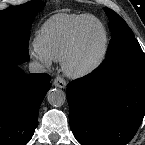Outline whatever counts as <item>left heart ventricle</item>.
<instances>
[{
    "label": "left heart ventricle",
    "mask_w": 145,
    "mask_h": 145,
    "mask_svg": "<svg viewBox=\"0 0 145 145\" xmlns=\"http://www.w3.org/2000/svg\"><path fill=\"white\" fill-rule=\"evenodd\" d=\"M84 47L81 55V61H87L92 58L100 49L102 43V30L94 21H90L84 30Z\"/></svg>",
    "instance_id": "left-heart-ventricle-1"
}]
</instances>
